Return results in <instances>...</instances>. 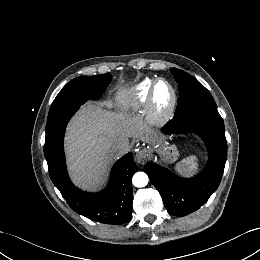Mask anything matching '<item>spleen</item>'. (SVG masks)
<instances>
[{
    "instance_id": "3e777b00",
    "label": "spleen",
    "mask_w": 260,
    "mask_h": 260,
    "mask_svg": "<svg viewBox=\"0 0 260 260\" xmlns=\"http://www.w3.org/2000/svg\"><path fill=\"white\" fill-rule=\"evenodd\" d=\"M199 168V158L196 155L189 156L188 158L182 160L176 166L175 170L179 173L194 175L197 173Z\"/></svg>"
}]
</instances>
